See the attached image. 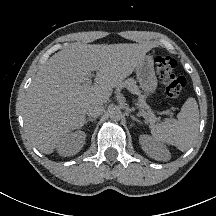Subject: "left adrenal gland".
Returning <instances> with one entry per match:
<instances>
[{"instance_id": "left-adrenal-gland-1", "label": "left adrenal gland", "mask_w": 216, "mask_h": 216, "mask_svg": "<svg viewBox=\"0 0 216 216\" xmlns=\"http://www.w3.org/2000/svg\"><path fill=\"white\" fill-rule=\"evenodd\" d=\"M130 117L133 121H136V122L142 124V122L138 118H136L135 116L131 115Z\"/></svg>"}]
</instances>
